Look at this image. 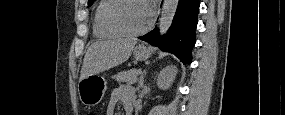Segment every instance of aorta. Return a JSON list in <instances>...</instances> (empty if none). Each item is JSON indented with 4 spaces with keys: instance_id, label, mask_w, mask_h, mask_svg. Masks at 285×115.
I'll return each instance as SVG.
<instances>
[{
    "instance_id": "aorta-1",
    "label": "aorta",
    "mask_w": 285,
    "mask_h": 115,
    "mask_svg": "<svg viewBox=\"0 0 285 115\" xmlns=\"http://www.w3.org/2000/svg\"><path fill=\"white\" fill-rule=\"evenodd\" d=\"M178 3L179 0H164L161 17L159 19L160 35L165 34L170 28L178 7Z\"/></svg>"
}]
</instances>
